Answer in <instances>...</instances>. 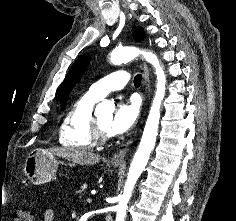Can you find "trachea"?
I'll return each instance as SVG.
<instances>
[{"mask_svg":"<svg viewBox=\"0 0 236 221\" xmlns=\"http://www.w3.org/2000/svg\"><path fill=\"white\" fill-rule=\"evenodd\" d=\"M141 79H142L141 74L136 75V76L134 77V84H135L136 86H139V85L141 84Z\"/></svg>","mask_w":236,"mask_h":221,"instance_id":"obj_1","label":"trachea"}]
</instances>
